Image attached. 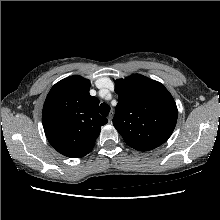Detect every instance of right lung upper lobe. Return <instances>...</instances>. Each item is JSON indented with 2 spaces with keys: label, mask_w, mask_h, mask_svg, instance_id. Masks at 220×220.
<instances>
[{
  "label": "right lung upper lobe",
  "mask_w": 220,
  "mask_h": 220,
  "mask_svg": "<svg viewBox=\"0 0 220 220\" xmlns=\"http://www.w3.org/2000/svg\"><path fill=\"white\" fill-rule=\"evenodd\" d=\"M89 90L90 81L74 75L56 83L46 97L43 128L51 146L64 156L87 155L108 122L98 113L99 100Z\"/></svg>",
  "instance_id": "cb5924a9"
}]
</instances>
